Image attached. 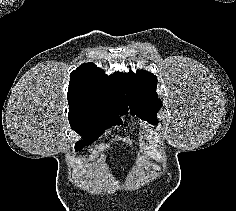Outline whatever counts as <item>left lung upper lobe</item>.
I'll return each mask as SVG.
<instances>
[{
    "label": "left lung upper lobe",
    "mask_w": 236,
    "mask_h": 211,
    "mask_svg": "<svg viewBox=\"0 0 236 211\" xmlns=\"http://www.w3.org/2000/svg\"><path fill=\"white\" fill-rule=\"evenodd\" d=\"M128 103L133 115L157 125L156 113L162 102L156 93L157 77L145 70L124 74Z\"/></svg>",
    "instance_id": "obj_1"
}]
</instances>
